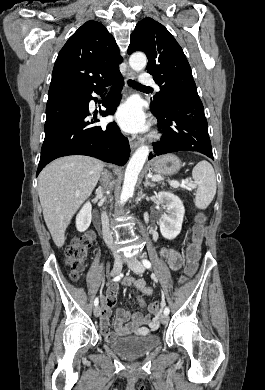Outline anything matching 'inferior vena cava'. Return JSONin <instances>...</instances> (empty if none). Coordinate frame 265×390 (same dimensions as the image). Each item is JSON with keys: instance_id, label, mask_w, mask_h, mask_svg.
Returning a JSON list of instances; mask_svg holds the SVG:
<instances>
[{"instance_id": "1", "label": "inferior vena cava", "mask_w": 265, "mask_h": 390, "mask_svg": "<svg viewBox=\"0 0 265 390\" xmlns=\"http://www.w3.org/2000/svg\"><path fill=\"white\" fill-rule=\"evenodd\" d=\"M99 193L101 194L102 193V189H99ZM105 198L102 199V201H104ZM101 222H102V235H103V240L104 242L106 243V245L111 248V250L113 251V254L114 255H117V251L113 245V237H112V233L110 231V228H109V220H108V217L106 215L105 212L102 213L101 215Z\"/></svg>"}]
</instances>
